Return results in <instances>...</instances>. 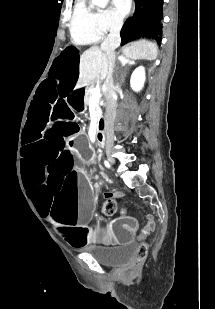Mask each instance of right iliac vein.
<instances>
[{
	"label": "right iliac vein",
	"mask_w": 215,
	"mask_h": 309,
	"mask_svg": "<svg viewBox=\"0 0 215 309\" xmlns=\"http://www.w3.org/2000/svg\"><path fill=\"white\" fill-rule=\"evenodd\" d=\"M110 162L114 163L115 162L114 158H110Z\"/></svg>",
	"instance_id": "63e3f726"
}]
</instances>
